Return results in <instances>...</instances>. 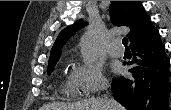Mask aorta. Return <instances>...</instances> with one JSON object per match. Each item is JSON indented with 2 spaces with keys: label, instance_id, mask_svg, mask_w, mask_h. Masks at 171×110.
<instances>
[{
  "label": "aorta",
  "instance_id": "obj_1",
  "mask_svg": "<svg viewBox=\"0 0 171 110\" xmlns=\"http://www.w3.org/2000/svg\"><path fill=\"white\" fill-rule=\"evenodd\" d=\"M80 50L85 62H94L98 53L97 37L93 33L85 34L80 42Z\"/></svg>",
  "mask_w": 171,
  "mask_h": 110
}]
</instances>
